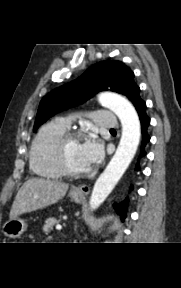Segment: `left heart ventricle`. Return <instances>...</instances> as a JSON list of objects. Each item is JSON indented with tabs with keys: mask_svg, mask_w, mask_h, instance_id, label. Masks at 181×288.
I'll return each mask as SVG.
<instances>
[{
	"mask_svg": "<svg viewBox=\"0 0 181 288\" xmlns=\"http://www.w3.org/2000/svg\"><path fill=\"white\" fill-rule=\"evenodd\" d=\"M81 141L74 140L71 141L66 147V158L69 165L77 171H84L89 167L84 162L82 153H81Z\"/></svg>",
	"mask_w": 181,
	"mask_h": 288,
	"instance_id": "obj_1",
	"label": "left heart ventricle"
}]
</instances>
